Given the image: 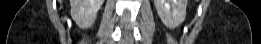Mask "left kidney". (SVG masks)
I'll use <instances>...</instances> for the list:
<instances>
[{
	"mask_svg": "<svg viewBox=\"0 0 261 44\" xmlns=\"http://www.w3.org/2000/svg\"><path fill=\"white\" fill-rule=\"evenodd\" d=\"M157 13L170 29H175L185 20L187 0H154Z\"/></svg>",
	"mask_w": 261,
	"mask_h": 44,
	"instance_id": "5707ae66",
	"label": "left kidney"
}]
</instances>
